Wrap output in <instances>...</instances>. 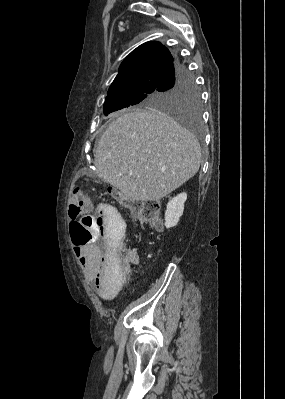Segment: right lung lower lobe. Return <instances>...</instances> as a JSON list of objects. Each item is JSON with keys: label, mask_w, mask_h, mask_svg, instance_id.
<instances>
[{"label": "right lung lower lobe", "mask_w": 285, "mask_h": 399, "mask_svg": "<svg viewBox=\"0 0 285 399\" xmlns=\"http://www.w3.org/2000/svg\"><path fill=\"white\" fill-rule=\"evenodd\" d=\"M185 72H187L186 67L180 62L178 58H175L174 62L165 72L159 86L165 83H172L177 81L184 75Z\"/></svg>", "instance_id": "98d812e1"}]
</instances>
